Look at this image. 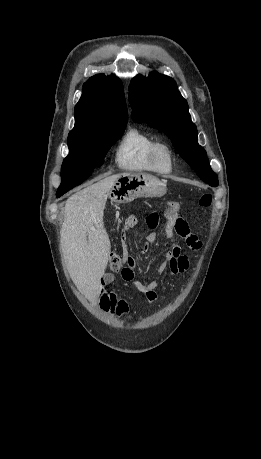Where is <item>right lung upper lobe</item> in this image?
Returning <instances> with one entry per match:
<instances>
[{
    "instance_id": "obj_1",
    "label": "right lung upper lobe",
    "mask_w": 261,
    "mask_h": 459,
    "mask_svg": "<svg viewBox=\"0 0 261 459\" xmlns=\"http://www.w3.org/2000/svg\"><path fill=\"white\" fill-rule=\"evenodd\" d=\"M75 126L69 137L99 127L127 124L128 112L121 81L115 76L97 74L84 84L75 106Z\"/></svg>"
}]
</instances>
